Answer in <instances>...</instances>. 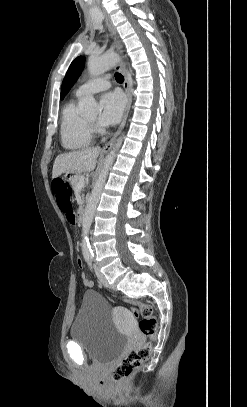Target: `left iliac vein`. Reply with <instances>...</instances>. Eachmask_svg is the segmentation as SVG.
Masks as SVG:
<instances>
[{
  "label": "left iliac vein",
  "instance_id": "left-iliac-vein-1",
  "mask_svg": "<svg viewBox=\"0 0 247 407\" xmlns=\"http://www.w3.org/2000/svg\"><path fill=\"white\" fill-rule=\"evenodd\" d=\"M94 270H95V273H96L100 283L103 286L109 288V283H108L107 279L105 278V276L101 273L100 268L97 264H94Z\"/></svg>",
  "mask_w": 247,
  "mask_h": 407
}]
</instances>
